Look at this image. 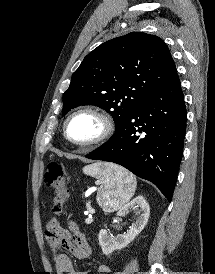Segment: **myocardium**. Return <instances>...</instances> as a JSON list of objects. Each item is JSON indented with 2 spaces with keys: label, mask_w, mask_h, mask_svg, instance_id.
Masks as SVG:
<instances>
[{
  "label": "myocardium",
  "mask_w": 215,
  "mask_h": 274,
  "mask_svg": "<svg viewBox=\"0 0 215 274\" xmlns=\"http://www.w3.org/2000/svg\"><path fill=\"white\" fill-rule=\"evenodd\" d=\"M79 114H90L97 118L101 124L100 133L93 139L86 142H76L68 136L67 128L70 120ZM115 131V123L113 118L105 111L95 107H81L71 112L63 123V136L72 145L79 148H91L108 140Z\"/></svg>",
  "instance_id": "myocardium-1"
}]
</instances>
